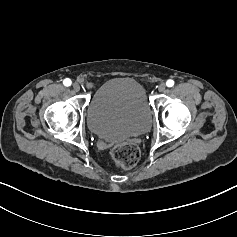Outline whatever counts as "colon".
I'll return each instance as SVG.
<instances>
[{
  "label": "colon",
  "instance_id": "1",
  "mask_svg": "<svg viewBox=\"0 0 237 237\" xmlns=\"http://www.w3.org/2000/svg\"><path fill=\"white\" fill-rule=\"evenodd\" d=\"M110 157L117 166L129 169L138 163L140 151L135 144L124 142L110 149Z\"/></svg>",
  "mask_w": 237,
  "mask_h": 237
}]
</instances>
